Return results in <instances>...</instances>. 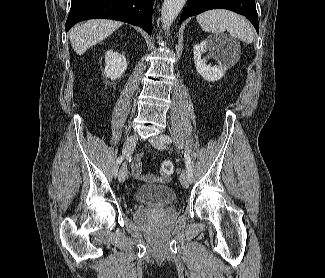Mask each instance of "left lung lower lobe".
Here are the masks:
<instances>
[{"label":"left lung lower lobe","instance_id":"0a47b994","mask_svg":"<svg viewBox=\"0 0 325 278\" xmlns=\"http://www.w3.org/2000/svg\"><path fill=\"white\" fill-rule=\"evenodd\" d=\"M216 8L228 9L246 16L258 32L259 22L254 0H188L180 24L190 16Z\"/></svg>","mask_w":325,"mask_h":278}]
</instances>
